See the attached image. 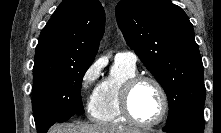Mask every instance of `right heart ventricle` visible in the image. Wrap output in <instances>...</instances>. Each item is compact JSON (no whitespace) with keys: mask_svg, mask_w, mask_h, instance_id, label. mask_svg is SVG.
<instances>
[{"mask_svg":"<svg viewBox=\"0 0 221 133\" xmlns=\"http://www.w3.org/2000/svg\"><path fill=\"white\" fill-rule=\"evenodd\" d=\"M136 73V67L115 61L111 75L104 79L96 89L90 109L95 120L112 125L127 123L120 107V92L124 82Z\"/></svg>","mask_w":221,"mask_h":133,"instance_id":"right-heart-ventricle-1","label":"right heart ventricle"}]
</instances>
